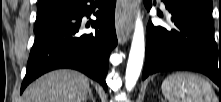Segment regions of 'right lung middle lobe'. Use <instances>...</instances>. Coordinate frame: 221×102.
Instances as JSON below:
<instances>
[{
	"mask_svg": "<svg viewBox=\"0 0 221 102\" xmlns=\"http://www.w3.org/2000/svg\"><path fill=\"white\" fill-rule=\"evenodd\" d=\"M74 5L75 0H60L51 6L38 8L34 31L43 27L49 21L55 19L61 14L69 11L74 7Z\"/></svg>",
	"mask_w": 221,
	"mask_h": 102,
	"instance_id": "obj_1",
	"label": "right lung middle lobe"
}]
</instances>
